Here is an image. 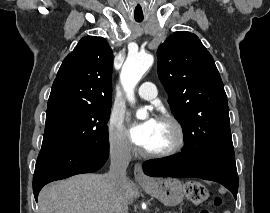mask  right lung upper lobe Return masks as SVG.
<instances>
[{"label":"right lung upper lobe","instance_id":"right-lung-upper-lobe-1","mask_svg":"<svg viewBox=\"0 0 270 213\" xmlns=\"http://www.w3.org/2000/svg\"><path fill=\"white\" fill-rule=\"evenodd\" d=\"M112 66L113 53L104 38H82L58 70L47 109L61 105L111 106Z\"/></svg>","mask_w":270,"mask_h":213}]
</instances>
